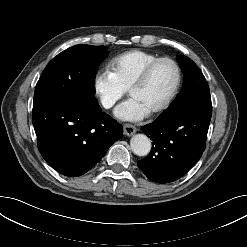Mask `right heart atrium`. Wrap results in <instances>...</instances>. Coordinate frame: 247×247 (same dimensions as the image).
Masks as SVG:
<instances>
[{
  "label": "right heart atrium",
  "mask_w": 247,
  "mask_h": 247,
  "mask_svg": "<svg viewBox=\"0 0 247 247\" xmlns=\"http://www.w3.org/2000/svg\"><path fill=\"white\" fill-rule=\"evenodd\" d=\"M93 92L99 104L106 110L113 108L125 95L123 89L106 70H99L93 77Z\"/></svg>",
  "instance_id": "right-heart-atrium-1"
}]
</instances>
